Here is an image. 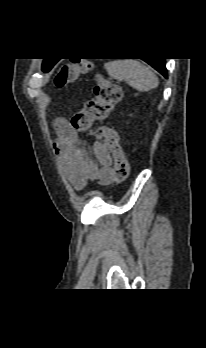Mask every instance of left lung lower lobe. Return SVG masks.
Masks as SVG:
<instances>
[{
	"label": "left lung lower lobe",
	"mask_w": 206,
	"mask_h": 348,
	"mask_svg": "<svg viewBox=\"0 0 206 348\" xmlns=\"http://www.w3.org/2000/svg\"><path fill=\"white\" fill-rule=\"evenodd\" d=\"M144 61L147 62L148 64H150L157 71H159L164 77H167V70H166L164 59L153 58V59H148V60H144ZM45 72H47V71H45Z\"/></svg>",
	"instance_id": "0a47b994"
}]
</instances>
